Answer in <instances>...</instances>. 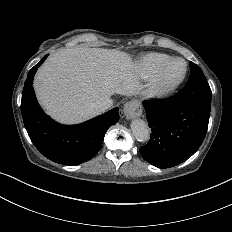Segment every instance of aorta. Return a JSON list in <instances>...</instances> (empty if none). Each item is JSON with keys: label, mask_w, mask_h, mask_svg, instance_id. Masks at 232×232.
Masks as SVG:
<instances>
[{"label": "aorta", "mask_w": 232, "mask_h": 232, "mask_svg": "<svg viewBox=\"0 0 232 232\" xmlns=\"http://www.w3.org/2000/svg\"><path fill=\"white\" fill-rule=\"evenodd\" d=\"M131 131L139 142H147L150 138V128L141 119H136L131 122Z\"/></svg>", "instance_id": "obj_1"}]
</instances>
